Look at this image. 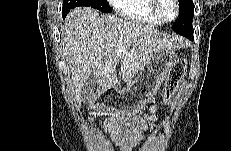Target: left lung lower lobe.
I'll return each instance as SVG.
<instances>
[{"instance_id":"0a47b994","label":"left lung lower lobe","mask_w":231,"mask_h":151,"mask_svg":"<svg viewBox=\"0 0 231 151\" xmlns=\"http://www.w3.org/2000/svg\"><path fill=\"white\" fill-rule=\"evenodd\" d=\"M185 37L189 38L190 40H193V39H194V37H193V32L190 33L189 35L185 36Z\"/></svg>"}]
</instances>
